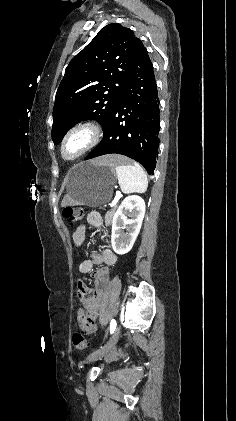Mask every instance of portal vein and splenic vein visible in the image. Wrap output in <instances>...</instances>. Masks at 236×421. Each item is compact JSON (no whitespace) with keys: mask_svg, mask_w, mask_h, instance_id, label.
Here are the masks:
<instances>
[{"mask_svg":"<svg viewBox=\"0 0 236 421\" xmlns=\"http://www.w3.org/2000/svg\"><path fill=\"white\" fill-rule=\"evenodd\" d=\"M120 196H121V192H119V190H117V192H116V196H115L114 200H112V201L110 202V205H111V206H115V205H116V202H118V200H119Z\"/></svg>","mask_w":236,"mask_h":421,"instance_id":"1","label":"portal vein and splenic vein"}]
</instances>
